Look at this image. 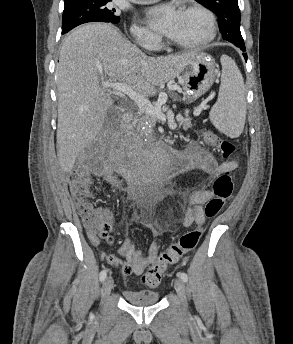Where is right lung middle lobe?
Here are the masks:
<instances>
[{
    "label": "right lung middle lobe",
    "instance_id": "right-lung-middle-lobe-1",
    "mask_svg": "<svg viewBox=\"0 0 293 344\" xmlns=\"http://www.w3.org/2000/svg\"><path fill=\"white\" fill-rule=\"evenodd\" d=\"M112 0H77L65 3L62 19V34L87 22L118 23L115 9L110 8Z\"/></svg>",
    "mask_w": 293,
    "mask_h": 344
}]
</instances>
